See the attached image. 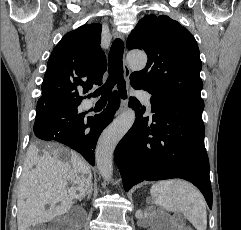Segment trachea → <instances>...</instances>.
Segmentation results:
<instances>
[{
  "label": "trachea",
  "mask_w": 241,
  "mask_h": 230,
  "mask_svg": "<svg viewBox=\"0 0 241 230\" xmlns=\"http://www.w3.org/2000/svg\"><path fill=\"white\" fill-rule=\"evenodd\" d=\"M124 52V43L121 39H115L112 43L109 58L108 69L109 77L106 83L98 88L92 96H100L99 102L105 103L111 93L112 88L117 84L120 96L126 98V83L123 78L122 57Z\"/></svg>",
  "instance_id": "trachea-1"
}]
</instances>
